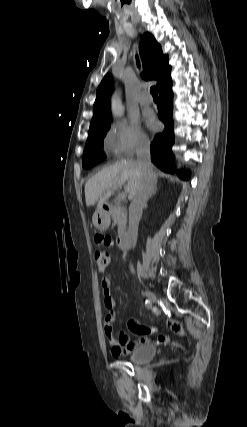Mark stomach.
I'll use <instances>...</instances> for the list:
<instances>
[{"mask_svg": "<svg viewBox=\"0 0 247 427\" xmlns=\"http://www.w3.org/2000/svg\"><path fill=\"white\" fill-rule=\"evenodd\" d=\"M92 221L96 229L104 231L110 225L109 213L105 209L100 208L94 213Z\"/></svg>", "mask_w": 247, "mask_h": 427, "instance_id": "stomach-1", "label": "stomach"}]
</instances>
